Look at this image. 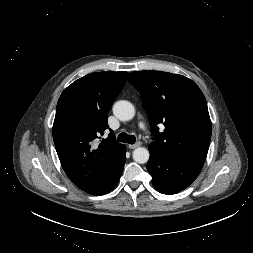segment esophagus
I'll list each match as a JSON object with an SVG mask.
<instances>
[{
    "label": "esophagus",
    "instance_id": "1",
    "mask_svg": "<svg viewBox=\"0 0 253 253\" xmlns=\"http://www.w3.org/2000/svg\"><path fill=\"white\" fill-rule=\"evenodd\" d=\"M139 146H141V142H137V143H135V144H130V145H128V147H129L130 149H135V148H137V147H139Z\"/></svg>",
    "mask_w": 253,
    "mask_h": 253
}]
</instances>
